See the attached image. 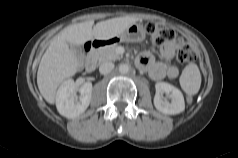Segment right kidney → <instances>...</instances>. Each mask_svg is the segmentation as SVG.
I'll return each instance as SVG.
<instances>
[{"instance_id":"ca27d5eb","label":"right kidney","mask_w":238,"mask_h":158,"mask_svg":"<svg viewBox=\"0 0 238 158\" xmlns=\"http://www.w3.org/2000/svg\"><path fill=\"white\" fill-rule=\"evenodd\" d=\"M81 96L76 97L77 87L72 79L62 83L56 96L58 112L69 119H73L84 113L88 108L92 96V83L86 82L79 89Z\"/></svg>"}]
</instances>
